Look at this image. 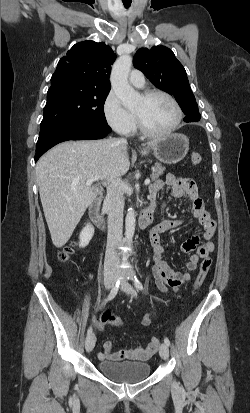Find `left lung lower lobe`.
Wrapping results in <instances>:
<instances>
[{
    "label": "left lung lower lobe",
    "mask_w": 250,
    "mask_h": 413,
    "mask_svg": "<svg viewBox=\"0 0 250 413\" xmlns=\"http://www.w3.org/2000/svg\"><path fill=\"white\" fill-rule=\"evenodd\" d=\"M200 118L201 117H196V116H186L185 118H184V121L185 122H196V121H199L200 120Z\"/></svg>",
    "instance_id": "0a47b994"
}]
</instances>
